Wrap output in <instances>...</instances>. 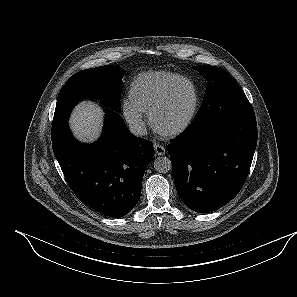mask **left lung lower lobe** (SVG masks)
I'll return each instance as SVG.
<instances>
[{
	"mask_svg": "<svg viewBox=\"0 0 297 297\" xmlns=\"http://www.w3.org/2000/svg\"><path fill=\"white\" fill-rule=\"evenodd\" d=\"M257 144V123L249 102L204 108L168 147L177 193L199 213L215 211L241 190Z\"/></svg>",
	"mask_w": 297,
	"mask_h": 297,
	"instance_id": "1",
	"label": "left lung lower lobe"
}]
</instances>
